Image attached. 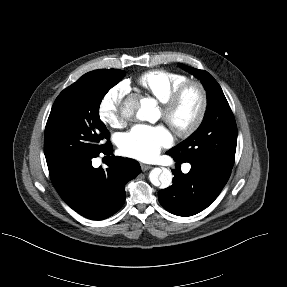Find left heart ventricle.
Returning a JSON list of instances; mask_svg holds the SVG:
<instances>
[{"label":"left heart ventricle","mask_w":287,"mask_h":287,"mask_svg":"<svg viewBox=\"0 0 287 287\" xmlns=\"http://www.w3.org/2000/svg\"><path fill=\"white\" fill-rule=\"evenodd\" d=\"M199 108V96L195 90H190L176 111L173 122L180 127L187 126L195 118Z\"/></svg>","instance_id":"1"}]
</instances>
